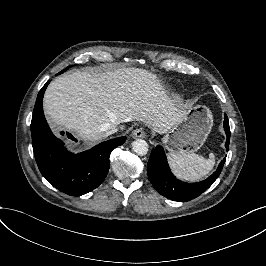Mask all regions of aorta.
Instances as JSON below:
<instances>
[{
  "instance_id": "aorta-1",
  "label": "aorta",
  "mask_w": 266,
  "mask_h": 266,
  "mask_svg": "<svg viewBox=\"0 0 266 266\" xmlns=\"http://www.w3.org/2000/svg\"><path fill=\"white\" fill-rule=\"evenodd\" d=\"M132 150L136 154L144 156L148 152V143L143 139H136L132 142Z\"/></svg>"
}]
</instances>
